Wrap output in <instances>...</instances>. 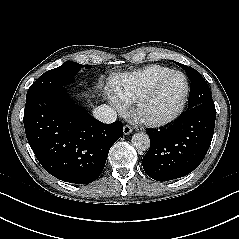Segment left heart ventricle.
I'll use <instances>...</instances> for the list:
<instances>
[{
	"label": "left heart ventricle",
	"instance_id": "1",
	"mask_svg": "<svg viewBox=\"0 0 239 239\" xmlns=\"http://www.w3.org/2000/svg\"><path fill=\"white\" fill-rule=\"evenodd\" d=\"M184 90V81L180 76L166 80L150 97L144 107V115L162 117L169 114L179 102Z\"/></svg>",
	"mask_w": 239,
	"mask_h": 239
}]
</instances>
